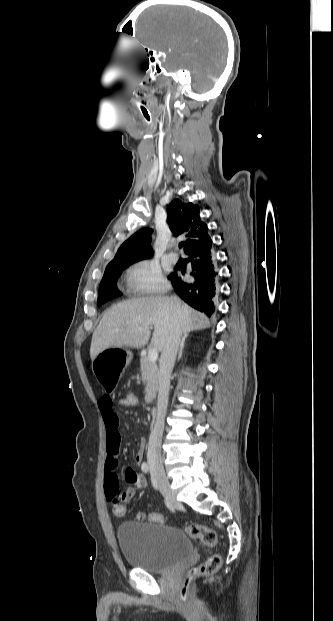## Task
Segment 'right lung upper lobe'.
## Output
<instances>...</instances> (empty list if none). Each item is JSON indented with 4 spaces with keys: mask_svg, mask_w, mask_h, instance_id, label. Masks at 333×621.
<instances>
[{
    "mask_svg": "<svg viewBox=\"0 0 333 621\" xmlns=\"http://www.w3.org/2000/svg\"><path fill=\"white\" fill-rule=\"evenodd\" d=\"M170 230L175 236L186 233L189 237L183 242L184 252L187 254L196 249H205L212 244L208 235L207 225L200 219V208L192 203H183L179 199L173 200L167 207ZM153 230L142 228L127 239L117 251L115 258L107 267L120 264L135 263L150 258V245Z\"/></svg>",
    "mask_w": 333,
    "mask_h": 621,
    "instance_id": "right-lung-upper-lobe-1",
    "label": "right lung upper lobe"
}]
</instances>
